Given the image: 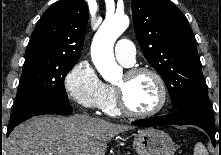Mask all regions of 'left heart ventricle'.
Instances as JSON below:
<instances>
[{
	"instance_id": "obj_1",
	"label": "left heart ventricle",
	"mask_w": 221,
	"mask_h": 155,
	"mask_svg": "<svg viewBox=\"0 0 221 155\" xmlns=\"http://www.w3.org/2000/svg\"><path fill=\"white\" fill-rule=\"evenodd\" d=\"M115 86L123 89L126 101L134 111L148 112L159 104V86L149 74H139L133 78H127L123 74Z\"/></svg>"
}]
</instances>
